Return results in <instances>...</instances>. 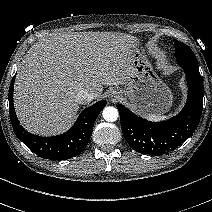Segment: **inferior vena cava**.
<instances>
[{"label":"inferior vena cava","mask_w":212,"mask_h":212,"mask_svg":"<svg viewBox=\"0 0 212 212\" xmlns=\"http://www.w3.org/2000/svg\"><path fill=\"white\" fill-rule=\"evenodd\" d=\"M94 98L95 94L87 90H79L76 95V101L79 104H86L88 102H91Z\"/></svg>","instance_id":"602c4592"}]
</instances>
